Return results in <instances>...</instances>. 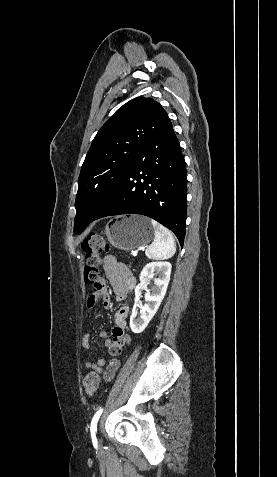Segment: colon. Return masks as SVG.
I'll list each match as a JSON object with an SVG mask.
<instances>
[{
    "label": "colon",
    "mask_w": 277,
    "mask_h": 477,
    "mask_svg": "<svg viewBox=\"0 0 277 477\" xmlns=\"http://www.w3.org/2000/svg\"><path fill=\"white\" fill-rule=\"evenodd\" d=\"M85 254L84 280L95 291L101 287L100 262L103 253L109 246L105 239L94 232L89 233L81 242ZM100 379L96 372H91L84 379V388L88 396H93L99 389Z\"/></svg>",
    "instance_id": "1"
}]
</instances>
